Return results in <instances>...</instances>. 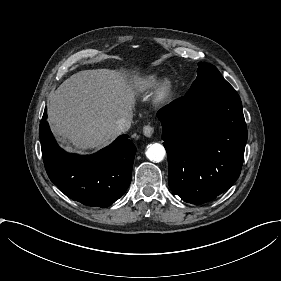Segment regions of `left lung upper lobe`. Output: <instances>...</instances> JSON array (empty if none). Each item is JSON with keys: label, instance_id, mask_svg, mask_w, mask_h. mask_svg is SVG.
Segmentation results:
<instances>
[{"label": "left lung upper lobe", "instance_id": "5c2ea615", "mask_svg": "<svg viewBox=\"0 0 281 281\" xmlns=\"http://www.w3.org/2000/svg\"><path fill=\"white\" fill-rule=\"evenodd\" d=\"M233 87L223 78L218 69L211 64L200 62L197 78L186 95L196 94L213 89H232Z\"/></svg>", "mask_w": 281, "mask_h": 281}]
</instances>
